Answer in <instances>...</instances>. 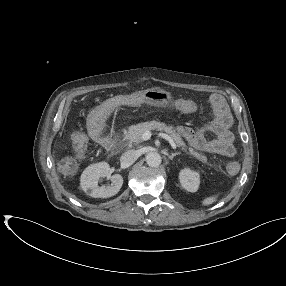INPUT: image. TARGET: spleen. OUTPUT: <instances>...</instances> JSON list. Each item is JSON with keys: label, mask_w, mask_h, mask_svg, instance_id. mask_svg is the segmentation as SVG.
Instances as JSON below:
<instances>
[{"label": "spleen", "mask_w": 286, "mask_h": 286, "mask_svg": "<svg viewBox=\"0 0 286 286\" xmlns=\"http://www.w3.org/2000/svg\"><path fill=\"white\" fill-rule=\"evenodd\" d=\"M217 198H218L217 195L206 197L205 199H203L202 204L204 206L211 205L212 203H214L217 200Z\"/></svg>", "instance_id": "spleen-1"}]
</instances>
